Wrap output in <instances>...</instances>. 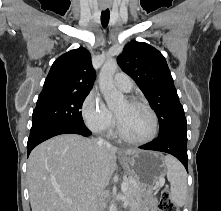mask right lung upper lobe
<instances>
[{
  "mask_svg": "<svg viewBox=\"0 0 221 211\" xmlns=\"http://www.w3.org/2000/svg\"><path fill=\"white\" fill-rule=\"evenodd\" d=\"M95 80L90 52L80 47L55 60L44 82V92H89Z\"/></svg>",
  "mask_w": 221,
  "mask_h": 211,
  "instance_id": "cb5924a9",
  "label": "right lung upper lobe"
}]
</instances>
